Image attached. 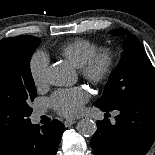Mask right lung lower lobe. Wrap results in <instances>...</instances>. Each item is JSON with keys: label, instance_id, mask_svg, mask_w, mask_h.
<instances>
[{"label": "right lung lower lobe", "instance_id": "1", "mask_svg": "<svg viewBox=\"0 0 155 155\" xmlns=\"http://www.w3.org/2000/svg\"><path fill=\"white\" fill-rule=\"evenodd\" d=\"M63 131L58 120L41 128L30 123L15 137L0 143V155H55Z\"/></svg>", "mask_w": 155, "mask_h": 155}]
</instances>
